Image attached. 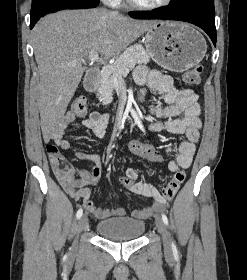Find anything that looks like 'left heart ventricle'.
Wrapping results in <instances>:
<instances>
[{
  "label": "left heart ventricle",
  "instance_id": "1",
  "mask_svg": "<svg viewBox=\"0 0 247 280\" xmlns=\"http://www.w3.org/2000/svg\"><path fill=\"white\" fill-rule=\"evenodd\" d=\"M136 1L139 3H142V4H153V3L159 2L161 0H136Z\"/></svg>",
  "mask_w": 247,
  "mask_h": 280
}]
</instances>
